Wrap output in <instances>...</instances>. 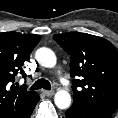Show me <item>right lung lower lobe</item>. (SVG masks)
Segmentation results:
<instances>
[{
	"mask_svg": "<svg viewBox=\"0 0 118 118\" xmlns=\"http://www.w3.org/2000/svg\"><path fill=\"white\" fill-rule=\"evenodd\" d=\"M33 110L25 117V118H29L30 115L32 114Z\"/></svg>",
	"mask_w": 118,
	"mask_h": 118,
	"instance_id": "98d812e1",
	"label": "right lung lower lobe"
}]
</instances>
